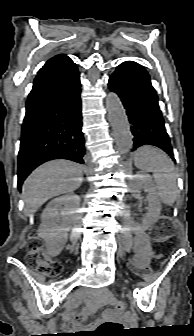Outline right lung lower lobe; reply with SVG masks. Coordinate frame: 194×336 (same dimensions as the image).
Here are the masks:
<instances>
[{"instance_id":"right-lung-lower-lobe-1","label":"right lung lower lobe","mask_w":194,"mask_h":336,"mask_svg":"<svg viewBox=\"0 0 194 336\" xmlns=\"http://www.w3.org/2000/svg\"><path fill=\"white\" fill-rule=\"evenodd\" d=\"M80 76L73 62L36 76L26 102L18 156V188L41 163H84Z\"/></svg>"}]
</instances>
